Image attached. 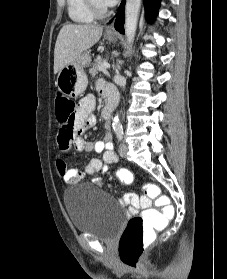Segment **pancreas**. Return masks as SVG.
<instances>
[{
    "mask_svg": "<svg viewBox=\"0 0 227 279\" xmlns=\"http://www.w3.org/2000/svg\"><path fill=\"white\" fill-rule=\"evenodd\" d=\"M104 63H107L106 59H102V58L95 59L93 65L89 69V73L92 76H94L99 71V68L101 67V65H103Z\"/></svg>",
    "mask_w": 227,
    "mask_h": 279,
    "instance_id": "pancreas-1",
    "label": "pancreas"
}]
</instances>
